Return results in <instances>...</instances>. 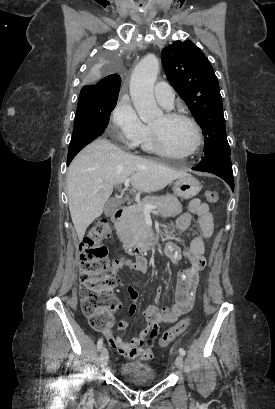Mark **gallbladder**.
Listing matches in <instances>:
<instances>
[{
    "label": "gallbladder",
    "instance_id": "gallbladder-1",
    "mask_svg": "<svg viewBox=\"0 0 275 409\" xmlns=\"http://www.w3.org/2000/svg\"><path fill=\"white\" fill-rule=\"evenodd\" d=\"M121 202L118 198H110L104 207V215L105 217H111L115 211H117L118 207H120Z\"/></svg>",
    "mask_w": 275,
    "mask_h": 409
}]
</instances>
